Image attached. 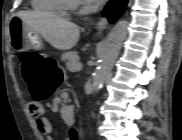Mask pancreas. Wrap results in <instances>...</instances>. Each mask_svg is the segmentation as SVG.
Masks as SVG:
<instances>
[{
	"instance_id": "pancreas-1",
	"label": "pancreas",
	"mask_w": 182,
	"mask_h": 140,
	"mask_svg": "<svg viewBox=\"0 0 182 140\" xmlns=\"http://www.w3.org/2000/svg\"><path fill=\"white\" fill-rule=\"evenodd\" d=\"M62 60L66 62V67L70 71H76L77 70V64H78V55L77 52H68L65 53L62 56Z\"/></svg>"
}]
</instances>
